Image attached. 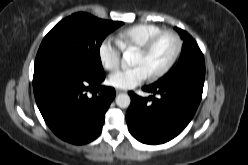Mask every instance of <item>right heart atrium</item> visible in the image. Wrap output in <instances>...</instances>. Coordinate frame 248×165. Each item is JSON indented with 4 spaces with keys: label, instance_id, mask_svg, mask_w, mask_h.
Returning <instances> with one entry per match:
<instances>
[{
    "label": "right heart atrium",
    "instance_id": "d8ad5b80",
    "mask_svg": "<svg viewBox=\"0 0 248 165\" xmlns=\"http://www.w3.org/2000/svg\"><path fill=\"white\" fill-rule=\"evenodd\" d=\"M98 55L103 67L108 71H113L120 65L122 49L116 40L107 38L100 43Z\"/></svg>",
    "mask_w": 248,
    "mask_h": 165
}]
</instances>
